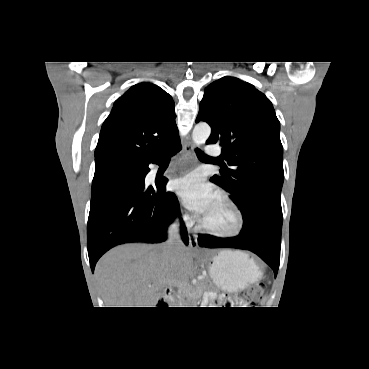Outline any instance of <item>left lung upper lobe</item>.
I'll return each mask as SVG.
<instances>
[{
  "label": "left lung upper lobe",
  "instance_id": "obj_1",
  "mask_svg": "<svg viewBox=\"0 0 369 369\" xmlns=\"http://www.w3.org/2000/svg\"><path fill=\"white\" fill-rule=\"evenodd\" d=\"M200 121L211 126L206 143L220 144L231 166L210 180L231 194L243 215V229L264 214L282 216L283 149L270 100L250 83L225 76L205 89Z\"/></svg>",
  "mask_w": 369,
  "mask_h": 369
}]
</instances>
